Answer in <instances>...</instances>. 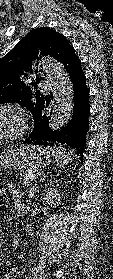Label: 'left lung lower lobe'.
Listing matches in <instances>:
<instances>
[{
	"instance_id": "obj_1",
	"label": "left lung lower lobe",
	"mask_w": 113,
	"mask_h": 279,
	"mask_svg": "<svg viewBox=\"0 0 113 279\" xmlns=\"http://www.w3.org/2000/svg\"><path fill=\"white\" fill-rule=\"evenodd\" d=\"M69 73L74 90V108L70 122L61 129L52 130L49 127V117L44 113V108L49 105L50 98L44 96L39 105L34 107V128L31 135L25 139V144L30 145H63L72 148L83 159L86 146V134L89 130L88 116L89 89L86 85L85 73L81 68V61L76 56L74 49L70 50L62 63Z\"/></svg>"
}]
</instances>
